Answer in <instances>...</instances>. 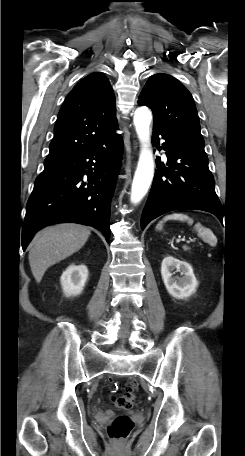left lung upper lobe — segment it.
I'll use <instances>...</instances> for the list:
<instances>
[{"label": "left lung upper lobe", "mask_w": 245, "mask_h": 456, "mask_svg": "<svg viewBox=\"0 0 245 456\" xmlns=\"http://www.w3.org/2000/svg\"><path fill=\"white\" fill-rule=\"evenodd\" d=\"M153 111L154 127L169 128L204 147L195 103L190 92L168 74L152 75L138 100Z\"/></svg>", "instance_id": "5c2ea615"}]
</instances>
